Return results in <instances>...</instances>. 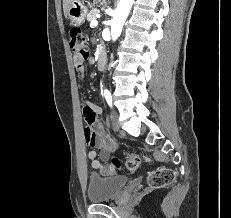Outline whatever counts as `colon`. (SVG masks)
<instances>
[{"label": "colon", "mask_w": 231, "mask_h": 218, "mask_svg": "<svg viewBox=\"0 0 231 218\" xmlns=\"http://www.w3.org/2000/svg\"><path fill=\"white\" fill-rule=\"evenodd\" d=\"M70 47L72 51L82 56H89L88 41L81 28L74 26L69 31ZM141 159L136 154H129L124 165L114 158L110 165L105 166L109 173H114L125 168L129 171H135L140 165ZM176 173L170 168H159L151 172L148 176V184L151 188L158 189L172 184Z\"/></svg>", "instance_id": "colon-1"}]
</instances>
